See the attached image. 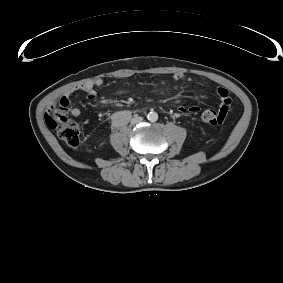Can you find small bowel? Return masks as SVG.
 Here are the masks:
<instances>
[{"instance_id": "c3829d8e", "label": "small bowel", "mask_w": 283, "mask_h": 283, "mask_svg": "<svg viewBox=\"0 0 283 283\" xmlns=\"http://www.w3.org/2000/svg\"><path fill=\"white\" fill-rule=\"evenodd\" d=\"M172 79L175 82H181L185 80V75L181 73H175L172 75ZM102 83H103L102 79H94L91 81L84 82L78 87H76L75 89H73L72 91H70L67 94V96L70 97L75 92L79 91V92L84 93L89 99H93L96 96V88L102 85ZM217 95L221 101L220 109H226L228 111L231 105V99H230L228 90L223 87H220L217 89ZM199 111H200V108L195 105L180 106L178 108V112L180 114H184V113L197 114L199 113ZM70 112L73 117H79L81 114L80 109L76 107L72 108Z\"/></svg>"}]
</instances>
